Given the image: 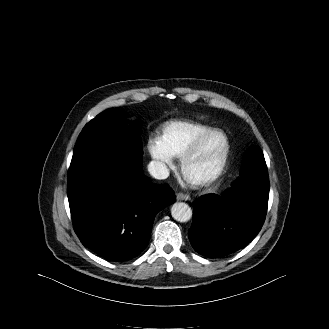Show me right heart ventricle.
Returning a JSON list of instances; mask_svg holds the SVG:
<instances>
[{"label":"right heart ventricle","instance_id":"1","mask_svg":"<svg viewBox=\"0 0 329 329\" xmlns=\"http://www.w3.org/2000/svg\"><path fill=\"white\" fill-rule=\"evenodd\" d=\"M210 126L193 121H169L161 129L159 142L172 157L180 158L191 144Z\"/></svg>","mask_w":329,"mask_h":329}]
</instances>
